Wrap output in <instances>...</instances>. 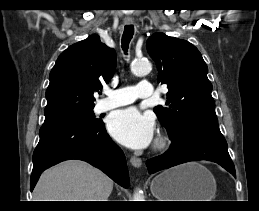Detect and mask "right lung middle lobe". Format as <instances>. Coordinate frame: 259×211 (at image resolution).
<instances>
[{"label": "right lung middle lobe", "instance_id": "right-lung-middle-lobe-1", "mask_svg": "<svg viewBox=\"0 0 259 211\" xmlns=\"http://www.w3.org/2000/svg\"><path fill=\"white\" fill-rule=\"evenodd\" d=\"M61 122L77 124L82 126H90V125H98L102 121L100 119H96L93 110H90L84 113L73 115L57 123H61Z\"/></svg>", "mask_w": 259, "mask_h": 211}]
</instances>
